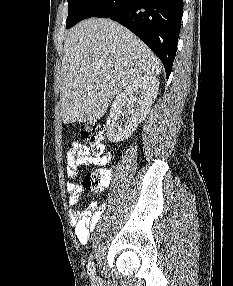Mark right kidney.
Segmentation results:
<instances>
[{
    "label": "right kidney",
    "mask_w": 233,
    "mask_h": 286,
    "mask_svg": "<svg viewBox=\"0 0 233 286\" xmlns=\"http://www.w3.org/2000/svg\"><path fill=\"white\" fill-rule=\"evenodd\" d=\"M158 87L159 80L155 76L144 75L127 85L114 99L105 129L109 141L120 142L132 135L149 113Z\"/></svg>",
    "instance_id": "right-kidney-1"
}]
</instances>
